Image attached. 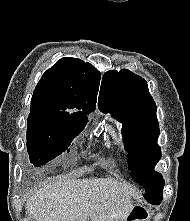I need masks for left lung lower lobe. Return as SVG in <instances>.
I'll use <instances>...</instances> for the list:
<instances>
[{
  "mask_svg": "<svg viewBox=\"0 0 190 221\" xmlns=\"http://www.w3.org/2000/svg\"><path fill=\"white\" fill-rule=\"evenodd\" d=\"M162 201V195L160 197H158L156 200H150L148 202L154 204V205H159Z\"/></svg>",
  "mask_w": 190,
  "mask_h": 221,
  "instance_id": "obj_1",
  "label": "left lung lower lobe"
}]
</instances>
